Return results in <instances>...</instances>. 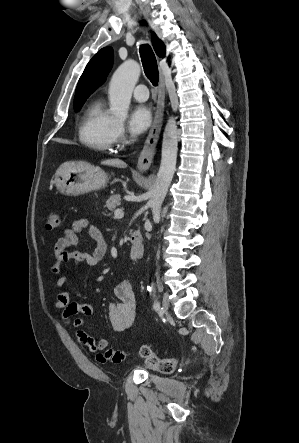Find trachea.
<instances>
[{
	"instance_id": "1",
	"label": "trachea",
	"mask_w": 299,
	"mask_h": 443,
	"mask_svg": "<svg viewBox=\"0 0 299 443\" xmlns=\"http://www.w3.org/2000/svg\"><path fill=\"white\" fill-rule=\"evenodd\" d=\"M140 56L145 75L154 86H157L159 79V72H158L156 57L154 55L152 48L148 44L141 45Z\"/></svg>"
}]
</instances>
